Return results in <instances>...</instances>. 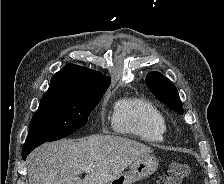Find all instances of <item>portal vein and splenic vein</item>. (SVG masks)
Listing matches in <instances>:
<instances>
[{"mask_svg": "<svg viewBox=\"0 0 224 184\" xmlns=\"http://www.w3.org/2000/svg\"><path fill=\"white\" fill-rule=\"evenodd\" d=\"M80 170H81V171H88V168H84V167H83V168H81Z\"/></svg>", "mask_w": 224, "mask_h": 184, "instance_id": "portal-vein-and-splenic-vein-1", "label": "portal vein and splenic vein"}]
</instances>
